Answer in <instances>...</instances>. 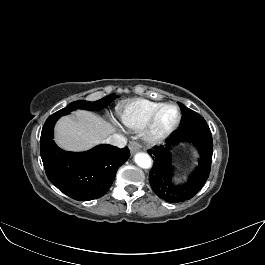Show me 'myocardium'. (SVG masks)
<instances>
[{"mask_svg":"<svg viewBox=\"0 0 265 265\" xmlns=\"http://www.w3.org/2000/svg\"><path fill=\"white\" fill-rule=\"evenodd\" d=\"M174 107L177 111V117L175 119V121L173 122V124L165 129L164 131L161 132H157L155 131V122L156 119L159 115V113L165 108V107ZM181 111L180 108L178 107L177 104L173 103V102H165V103H161L147 118V120L145 121L143 127L141 128V134H142V138L143 140L150 144V145H157L160 144L162 142H164L167 138H169L174 131L177 129V127L180 124L181 121Z\"/></svg>","mask_w":265,"mask_h":265,"instance_id":"myocardium-1","label":"myocardium"}]
</instances>
